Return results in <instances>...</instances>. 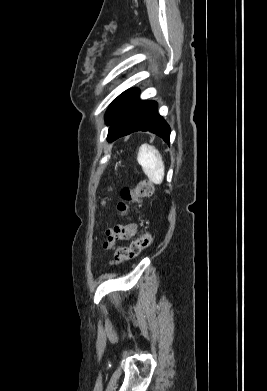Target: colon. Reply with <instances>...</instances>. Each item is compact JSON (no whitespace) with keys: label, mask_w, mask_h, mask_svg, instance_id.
<instances>
[{"label":"colon","mask_w":267,"mask_h":391,"mask_svg":"<svg viewBox=\"0 0 267 391\" xmlns=\"http://www.w3.org/2000/svg\"><path fill=\"white\" fill-rule=\"evenodd\" d=\"M154 192L153 184L148 180L140 181L135 187H124L120 191V200L117 209L120 214L127 212L131 205L141 202L142 199L150 197ZM151 244V236L146 232L140 233L128 246L119 248L115 253V263L136 258L143 250Z\"/></svg>","instance_id":"5ec220e1"}]
</instances>
